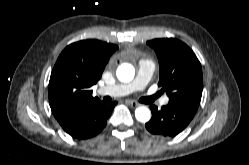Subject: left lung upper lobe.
<instances>
[{
	"label": "left lung upper lobe",
	"instance_id": "1",
	"mask_svg": "<svg viewBox=\"0 0 249 165\" xmlns=\"http://www.w3.org/2000/svg\"><path fill=\"white\" fill-rule=\"evenodd\" d=\"M160 65L159 86L169 97V104L197 112L200 105L203 75L199 60L183 42L174 38L148 41Z\"/></svg>",
	"mask_w": 249,
	"mask_h": 165
}]
</instances>
